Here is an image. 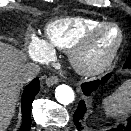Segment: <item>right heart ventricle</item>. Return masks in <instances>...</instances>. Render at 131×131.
I'll use <instances>...</instances> for the list:
<instances>
[{
	"mask_svg": "<svg viewBox=\"0 0 131 131\" xmlns=\"http://www.w3.org/2000/svg\"><path fill=\"white\" fill-rule=\"evenodd\" d=\"M103 23L89 17H64L49 22L45 27L46 44L51 51H69L90 29Z\"/></svg>",
	"mask_w": 131,
	"mask_h": 131,
	"instance_id": "right-heart-ventricle-1",
	"label": "right heart ventricle"
}]
</instances>
